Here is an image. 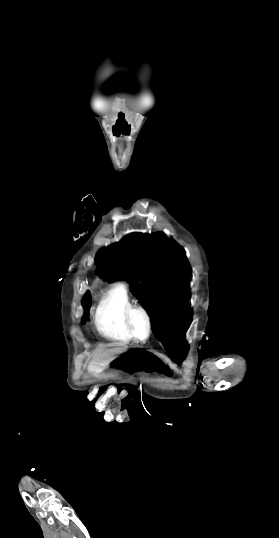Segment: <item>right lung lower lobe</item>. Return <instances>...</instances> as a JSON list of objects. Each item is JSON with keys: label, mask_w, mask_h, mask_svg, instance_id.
Segmentation results:
<instances>
[{"label": "right lung lower lobe", "mask_w": 279, "mask_h": 538, "mask_svg": "<svg viewBox=\"0 0 279 538\" xmlns=\"http://www.w3.org/2000/svg\"><path fill=\"white\" fill-rule=\"evenodd\" d=\"M90 299H91V294H90L89 291H87L85 293V295L83 296V299H82V305H83L86 312H87V310H88V308H89V306L91 304ZM84 319H85V317H84Z\"/></svg>", "instance_id": "obj_1"}]
</instances>
